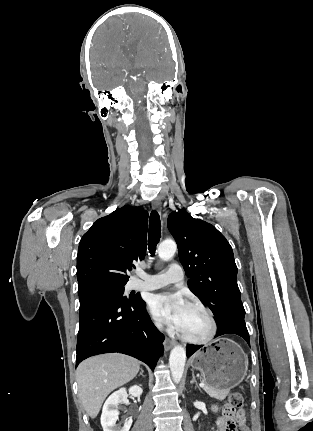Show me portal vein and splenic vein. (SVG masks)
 <instances>
[{
  "label": "portal vein and splenic vein",
  "instance_id": "1",
  "mask_svg": "<svg viewBox=\"0 0 313 431\" xmlns=\"http://www.w3.org/2000/svg\"><path fill=\"white\" fill-rule=\"evenodd\" d=\"M201 388H204L205 387V384L204 383H200V385H199Z\"/></svg>",
  "mask_w": 313,
  "mask_h": 431
}]
</instances>
